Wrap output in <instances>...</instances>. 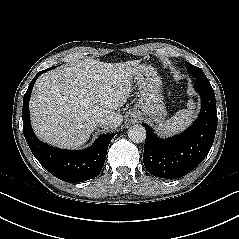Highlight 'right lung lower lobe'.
I'll return each mask as SVG.
<instances>
[{"label":"right lung lower lobe","instance_id":"right-lung-lower-lobe-1","mask_svg":"<svg viewBox=\"0 0 239 239\" xmlns=\"http://www.w3.org/2000/svg\"><path fill=\"white\" fill-rule=\"evenodd\" d=\"M43 70L33 78L23 99V132L25 139L41 165L52 175L65 182H83L95 178L102 170L110 141L116 135L104 134L93 145L80 150H63L45 144L37 139L30 124L29 99L33 85Z\"/></svg>","mask_w":239,"mask_h":239}]
</instances>
